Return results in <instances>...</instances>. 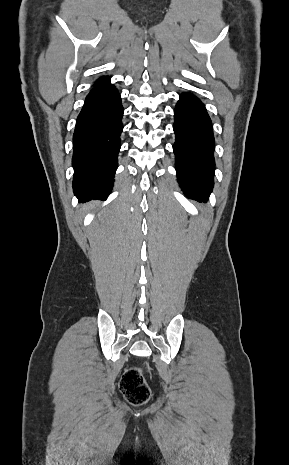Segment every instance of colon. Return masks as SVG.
Returning <instances> with one entry per match:
<instances>
[{
  "label": "colon",
  "mask_w": 289,
  "mask_h": 465,
  "mask_svg": "<svg viewBox=\"0 0 289 465\" xmlns=\"http://www.w3.org/2000/svg\"><path fill=\"white\" fill-rule=\"evenodd\" d=\"M120 390L133 405H141L150 397V389L144 377V369L132 367L125 371L120 381Z\"/></svg>",
  "instance_id": "1"
}]
</instances>
